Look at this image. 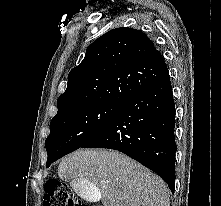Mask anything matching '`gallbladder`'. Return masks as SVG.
<instances>
[{
	"mask_svg": "<svg viewBox=\"0 0 221 206\" xmlns=\"http://www.w3.org/2000/svg\"><path fill=\"white\" fill-rule=\"evenodd\" d=\"M73 186L79 198H84V202H99L100 189L98 185H92V181H73Z\"/></svg>",
	"mask_w": 221,
	"mask_h": 206,
	"instance_id": "obj_1",
	"label": "gallbladder"
}]
</instances>
